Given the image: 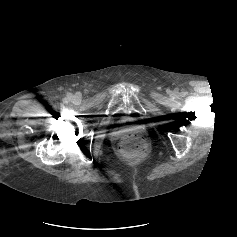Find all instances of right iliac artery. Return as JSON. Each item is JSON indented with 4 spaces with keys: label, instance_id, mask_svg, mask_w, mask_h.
<instances>
[{
    "label": "right iliac artery",
    "instance_id": "82829eb1",
    "mask_svg": "<svg viewBox=\"0 0 237 237\" xmlns=\"http://www.w3.org/2000/svg\"><path fill=\"white\" fill-rule=\"evenodd\" d=\"M71 99V96H67V100H70Z\"/></svg>",
    "mask_w": 237,
    "mask_h": 237
}]
</instances>
